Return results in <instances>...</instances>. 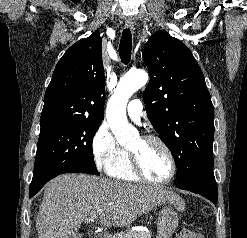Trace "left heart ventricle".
<instances>
[{"instance_id": "1", "label": "left heart ventricle", "mask_w": 247, "mask_h": 238, "mask_svg": "<svg viewBox=\"0 0 247 238\" xmlns=\"http://www.w3.org/2000/svg\"><path fill=\"white\" fill-rule=\"evenodd\" d=\"M129 150L139 157L142 170L150 179L162 180L169 175L170 162L160 145L137 138Z\"/></svg>"}]
</instances>
